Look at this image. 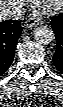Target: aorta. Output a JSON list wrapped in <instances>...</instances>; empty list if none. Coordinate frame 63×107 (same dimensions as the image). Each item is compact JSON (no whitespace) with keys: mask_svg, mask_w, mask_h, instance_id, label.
<instances>
[{"mask_svg":"<svg viewBox=\"0 0 63 107\" xmlns=\"http://www.w3.org/2000/svg\"><path fill=\"white\" fill-rule=\"evenodd\" d=\"M54 38L53 30L47 26H40L34 31V39L38 44L48 45Z\"/></svg>","mask_w":63,"mask_h":107,"instance_id":"obj_1","label":"aorta"}]
</instances>
